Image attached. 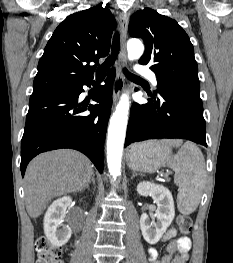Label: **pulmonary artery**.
Wrapping results in <instances>:
<instances>
[{
	"label": "pulmonary artery",
	"instance_id": "e3ab8cb5",
	"mask_svg": "<svg viewBox=\"0 0 233 263\" xmlns=\"http://www.w3.org/2000/svg\"><path fill=\"white\" fill-rule=\"evenodd\" d=\"M136 71L140 75L145 76L146 78H148L154 86H157V78H156V74H155L154 71L149 69L147 66H140V67H138L136 69Z\"/></svg>",
	"mask_w": 233,
	"mask_h": 263
}]
</instances>
